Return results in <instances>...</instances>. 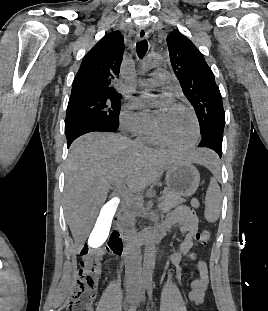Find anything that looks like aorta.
Listing matches in <instances>:
<instances>
[{
    "label": "aorta",
    "instance_id": "1",
    "mask_svg": "<svg viewBox=\"0 0 268 311\" xmlns=\"http://www.w3.org/2000/svg\"><path fill=\"white\" fill-rule=\"evenodd\" d=\"M163 63L162 57L160 55H150L141 65V70L148 72L153 70L156 67L161 66ZM155 238L152 230L150 229L147 234L144 260H143V272L145 277L150 278L153 273L155 266Z\"/></svg>",
    "mask_w": 268,
    "mask_h": 311
}]
</instances>
